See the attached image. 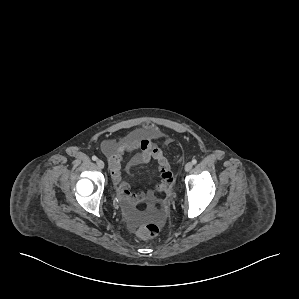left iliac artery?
I'll return each instance as SVG.
<instances>
[{
  "label": "left iliac artery",
  "mask_w": 299,
  "mask_h": 299,
  "mask_svg": "<svg viewBox=\"0 0 299 299\" xmlns=\"http://www.w3.org/2000/svg\"><path fill=\"white\" fill-rule=\"evenodd\" d=\"M196 163H197V160H196V159H193V160H192V164L195 165Z\"/></svg>",
  "instance_id": "left-iliac-artery-1"
}]
</instances>
